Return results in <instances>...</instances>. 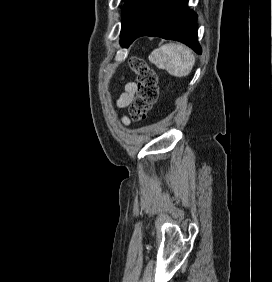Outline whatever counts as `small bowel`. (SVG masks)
Listing matches in <instances>:
<instances>
[{
    "label": "small bowel",
    "instance_id": "1",
    "mask_svg": "<svg viewBox=\"0 0 272 282\" xmlns=\"http://www.w3.org/2000/svg\"><path fill=\"white\" fill-rule=\"evenodd\" d=\"M136 89H137V84H135L134 82L126 83L124 87V91L121 93V95L119 96V98L116 101V106L120 109H123L129 106V104L133 100ZM122 122L123 124L128 125L129 119L126 116H124L122 118Z\"/></svg>",
    "mask_w": 272,
    "mask_h": 282
}]
</instances>
